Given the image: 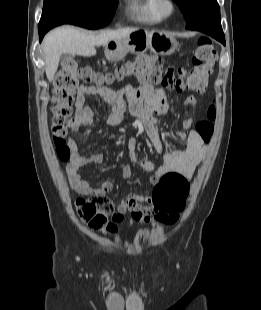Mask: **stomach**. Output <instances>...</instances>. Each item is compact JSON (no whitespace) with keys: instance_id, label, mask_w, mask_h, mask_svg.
Here are the masks:
<instances>
[{"instance_id":"stomach-1","label":"stomach","mask_w":261,"mask_h":310,"mask_svg":"<svg viewBox=\"0 0 261 310\" xmlns=\"http://www.w3.org/2000/svg\"><path fill=\"white\" fill-rule=\"evenodd\" d=\"M178 46L177 40L163 31L137 30L122 40H113L105 47L109 61H119L128 53H141L146 50L158 55H170Z\"/></svg>"}]
</instances>
